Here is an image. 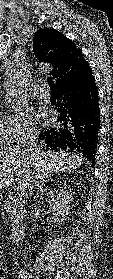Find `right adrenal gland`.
<instances>
[{
    "label": "right adrenal gland",
    "instance_id": "1",
    "mask_svg": "<svg viewBox=\"0 0 113 279\" xmlns=\"http://www.w3.org/2000/svg\"><path fill=\"white\" fill-rule=\"evenodd\" d=\"M51 179L50 177H46L43 181H39L37 186L38 192L36 193L34 198H38L39 194L42 192L43 190V186Z\"/></svg>",
    "mask_w": 113,
    "mask_h": 279
}]
</instances>
